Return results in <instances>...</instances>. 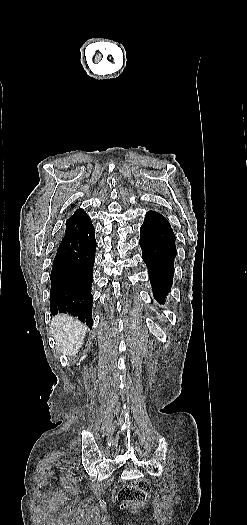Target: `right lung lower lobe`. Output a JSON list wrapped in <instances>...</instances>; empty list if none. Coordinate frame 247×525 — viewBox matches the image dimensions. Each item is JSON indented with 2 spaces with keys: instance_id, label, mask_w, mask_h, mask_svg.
<instances>
[{
  "instance_id": "right-lung-lower-lobe-1",
  "label": "right lung lower lobe",
  "mask_w": 247,
  "mask_h": 525,
  "mask_svg": "<svg viewBox=\"0 0 247 525\" xmlns=\"http://www.w3.org/2000/svg\"><path fill=\"white\" fill-rule=\"evenodd\" d=\"M95 228H87L62 239L50 275L51 316L69 313L92 327L93 265Z\"/></svg>"
}]
</instances>
